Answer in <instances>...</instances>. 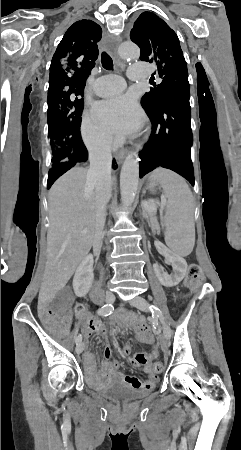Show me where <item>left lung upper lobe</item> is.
Returning a JSON list of instances; mask_svg holds the SVG:
<instances>
[{
    "label": "left lung upper lobe",
    "instance_id": "left-lung-upper-lobe-1",
    "mask_svg": "<svg viewBox=\"0 0 241 450\" xmlns=\"http://www.w3.org/2000/svg\"><path fill=\"white\" fill-rule=\"evenodd\" d=\"M130 38L141 49L140 60L156 63L163 79L142 97L145 111L190 94L187 65L178 37L162 19L152 12L142 13L130 31Z\"/></svg>",
    "mask_w": 241,
    "mask_h": 450
}]
</instances>
